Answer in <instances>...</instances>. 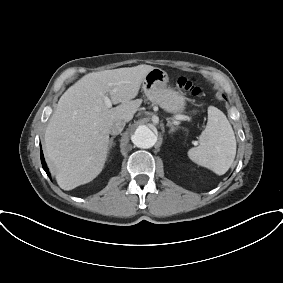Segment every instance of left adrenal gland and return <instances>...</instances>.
I'll return each mask as SVG.
<instances>
[{
    "label": "left adrenal gland",
    "mask_w": 283,
    "mask_h": 283,
    "mask_svg": "<svg viewBox=\"0 0 283 283\" xmlns=\"http://www.w3.org/2000/svg\"><path fill=\"white\" fill-rule=\"evenodd\" d=\"M167 126L170 127V131H169L170 134L173 133L177 129L176 127L171 126L170 124H167Z\"/></svg>",
    "instance_id": "a2214340"
}]
</instances>
